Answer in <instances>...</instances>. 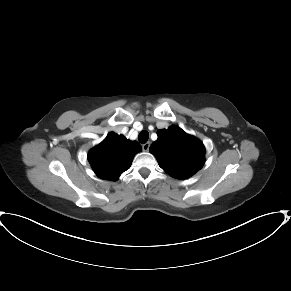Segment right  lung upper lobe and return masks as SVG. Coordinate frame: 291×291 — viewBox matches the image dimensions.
Listing matches in <instances>:
<instances>
[{
	"label": "right lung upper lobe",
	"mask_w": 291,
	"mask_h": 291,
	"mask_svg": "<svg viewBox=\"0 0 291 291\" xmlns=\"http://www.w3.org/2000/svg\"><path fill=\"white\" fill-rule=\"evenodd\" d=\"M141 150L138 142L111 132L89 151L88 160L99 178L115 181L130 168L135 154Z\"/></svg>",
	"instance_id": "cb5924a9"
}]
</instances>
